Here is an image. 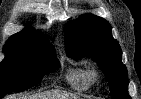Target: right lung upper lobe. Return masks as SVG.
Wrapping results in <instances>:
<instances>
[{
  "instance_id": "1",
  "label": "right lung upper lobe",
  "mask_w": 141,
  "mask_h": 99,
  "mask_svg": "<svg viewBox=\"0 0 141 99\" xmlns=\"http://www.w3.org/2000/svg\"><path fill=\"white\" fill-rule=\"evenodd\" d=\"M8 41L27 42L33 44H50L46 43V38L43 34L33 28H26L14 34Z\"/></svg>"
}]
</instances>
